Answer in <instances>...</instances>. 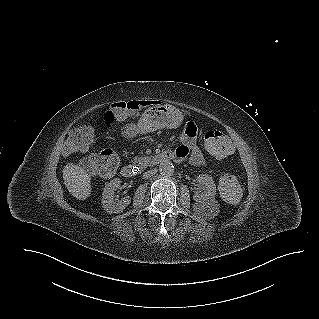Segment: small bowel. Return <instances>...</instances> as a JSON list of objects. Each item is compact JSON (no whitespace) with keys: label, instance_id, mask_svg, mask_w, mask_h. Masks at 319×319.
Returning <instances> with one entry per match:
<instances>
[{"label":"small bowel","instance_id":"obj_1","mask_svg":"<svg viewBox=\"0 0 319 319\" xmlns=\"http://www.w3.org/2000/svg\"><path fill=\"white\" fill-rule=\"evenodd\" d=\"M147 103L149 102L114 99L113 105L101 114L100 129L103 131L110 130L116 120L124 121L128 115L135 113ZM181 129L185 131L180 136V145L173 151L174 159L179 162L188 159L194 165L204 164L205 159L196 140V136L200 132L199 123L196 121H182Z\"/></svg>","mask_w":319,"mask_h":319}]
</instances>
